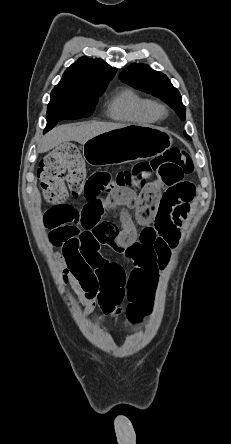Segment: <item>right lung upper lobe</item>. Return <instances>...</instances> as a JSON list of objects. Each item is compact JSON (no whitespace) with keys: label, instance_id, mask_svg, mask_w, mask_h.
I'll list each match as a JSON object with an SVG mask.
<instances>
[{"label":"right lung upper lobe","instance_id":"right-lung-upper-lobe-1","mask_svg":"<svg viewBox=\"0 0 231 444\" xmlns=\"http://www.w3.org/2000/svg\"><path fill=\"white\" fill-rule=\"evenodd\" d=\"M116 68L103 60L81 57L63 74L61 81L53 90L97 91L106 88Z\"/></svg>","mask_w":231,"mask_h":444}]
</instances>
